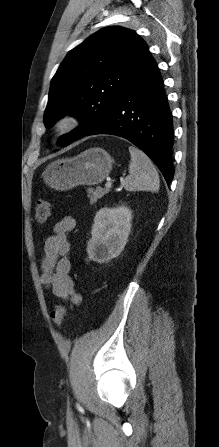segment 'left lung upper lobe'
<instances>
[{"instance_id":"1","label":"left lung upper lobe","mask_w":219,"mask_h":447,"mask_svg":"<svg viewBox=\"0 0 219 447\" xmlns=\"http://www.w3.org/2000/svg\"><path fill=\"white\" fill-rule=\"evenodd\" d=\"M148 46L134 31L104 28L72 49L51 80L44 123L72 114L82 125L61 138L66 145L86 136L129 83Z\"/></svg>"}]
</instances>
